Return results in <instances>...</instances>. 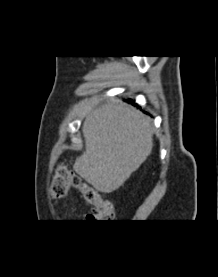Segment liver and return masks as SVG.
I'll list each match as a JSON object with an SVG mask.
<instances>
[{
    "label": "liver",
    "instance_id": "1",
    "mask_svg": "<svg viewBox=\"0 0 218 277\" xmlns=\"http://www.w3.org/2000/svg\"><path fill=\"white\" fill-rule=\"evenodd\" d=\"M85 151L73 169L97 191L117 190L151 154L150 119L121 101H107L85 111Z\"/></svg>",
    "mask_w": 218,
    "mask_h": 277
}]
</instances>
